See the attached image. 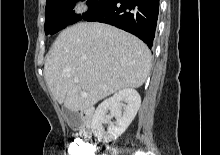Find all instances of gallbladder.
Masks as SVG:
<instances>
[{"label":"gallbladder","instance_id":"1","mask_svg":"<svg viewBox=\"0 0 220 155\" xmlns=\"http://www.w3.org/2000/svg\"><path fill=\"white\" fill-rule=\"evenodd\" d=\"M64 115L67 119L68 124L73 130H76L78 128V123H80V117L77 113L64 108Z\"/></svg>","mask_w":220,"mask_h":155}]
</instances>
